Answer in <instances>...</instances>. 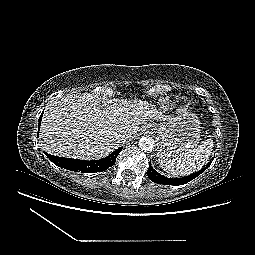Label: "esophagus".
<instances>
[{
	"label": "esophagus",
	"mask_w": 255,
	"mask_h": 255,
	"mask_svg": "<svg viewBox=\"0 0 255 255\" xmlns=\"http://www.w3.org/2000/svg\"><path fill=\"white\" fill-rule=\"evenodd\" d=\"M145 130H147V132H149L150 130H152V126H151V125L146 126V127H145Z\"/></svg>",
	"instance_id": "obj_1"
}]
</instances>
